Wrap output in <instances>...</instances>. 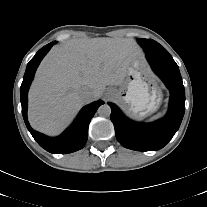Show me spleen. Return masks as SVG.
<instances>
[{
	"label": "spleen",
	"mask_w": 207,
	"mask_h": 207,
	"mask_svg": "<svg viewBox=\"0 0 207 207\" xmlns=\"http://www.w3.org/2000/svg\"><path fill=\"white\" fill-rule=\"evenodd\" d=\"M161 116H162V113H158L157 115L153 116V117L151 118V120L158 119V118L161 117Z\"/></svg>",
	"instance_id": "1"
}]
</instances>
